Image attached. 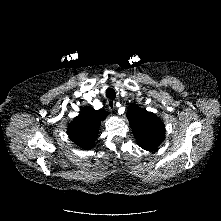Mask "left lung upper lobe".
<instances>
[{
    "label": "left lung upper lobe",
    "instance_id": "obj_1",
    "mask_svg": "<svg viewBox=\"0 0 221 221\" xmlns=\"http://www.w3.org/2000/svg\"><path fill=\"white\" fill-rule=\"evenodd\" d=\"M127 118L141 148L147 151L155 150L164 140L165 126L152 112L131 105L127 111Z\"/></svg>",
    "mask_w": 221,
    "mask_h": 221
}]
</instances>
